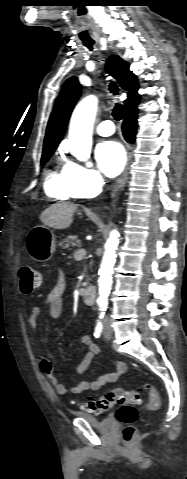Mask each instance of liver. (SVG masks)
I'll use <instances>...</instances> for the list:
<instances>
[{
	"mask_svg": "<svg viewBox=\"0 0 187 479\" xmlns=\"http://www.w3.org/2000/svg\"><path fill=\"white\" fill-rule=\"evenodd\" d=\"M77 205L73 203L59 202L50 205L40 215V220L46 226L55 229H66L73 221V214Z\"/></svg>",
	"mask_w": 187,
	"mask_h": 479,
	"instance_id": "liver-1",
	"label": "liver"
}]
</instances>
